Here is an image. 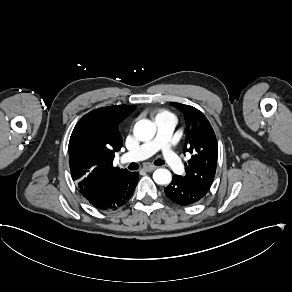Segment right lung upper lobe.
Segmentation results:
<instances>
[{"label":"right lung upper lobe","mask_w":292,"mask_h":292,"mask_svg":"<svg viewBox=\"0 0 292 292\" xmlns=\"http://www.w3.org/2000/svg\"><path fill=\"white\" fill-rule=\"evenodd\" d=\"M135 108L134 105L98 108L78 121L69 141V165L79 190L98 189L129 172L114 167L113 159L123 143L118 125Z\"/></svg>","instance_id":"1"}]
</instances>
